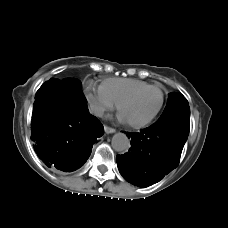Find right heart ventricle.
<instances>
[{"label":"right heart ventricle","instance_id":"obj_1","mask_svg":"<svg viewBox=\"0 0 228 228\" xmlns=\"http://www.w3.org/2000/svg\"><path fill=\"white\" fill-rule=\"evenodd\" d=\"M148 86L151 85L138 79L109 78L103 81L101 88L105 95L117 105L128 94Z\"/></svg>","mask_w":228,"mask_h":228}]
</instances>
